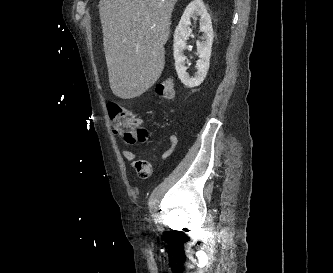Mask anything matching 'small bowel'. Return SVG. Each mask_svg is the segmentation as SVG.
I'll list each match as a JSON object with an SVG mask.
<instances>
[{
  "instance_id": "obj_1",
  "label": "small bowel",
  "mask_w": 333,
  "mask_h": 273,
  "mask_svg": "<svg viewBox=\"0 0 333 273\" xmlns=\"http://www.w3.org/2000/svg\"><path fill=\"white\" fill-rule=\"evenodd\" d=\"M139 122L142 124V122H144V112H139ZM168 147L167 149L164 150V152L161 155V159L164 160L166 158H168L173 151L175 150L177 144H178V137L175 134H171L168 137ZM122 156L125 160L131 162L132 166H135L137 159V155L135 154V152H133L132 150L129 149H125L122 151Z\"/></svg>"
}]
</instances>
